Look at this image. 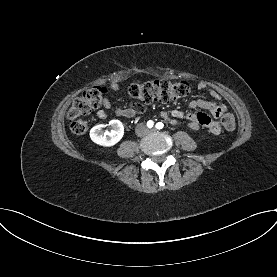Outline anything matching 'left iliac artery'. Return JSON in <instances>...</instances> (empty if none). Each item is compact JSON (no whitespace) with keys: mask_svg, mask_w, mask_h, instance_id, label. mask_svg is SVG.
Wrapping results in <instances>:
<instances>
[{"mask_svg":"<svg viewBox=\"0 0 277 277\" xmlns=\"http://www.w3.org/2000/svg\"><path fill=\"white\" fill-rule=\"evenodd\" d=\"M164 127V124L162 123V122H158L157 124H156V128L157 129H162Z\"/></svg>","mask_w":277,"mask_h":277,"instance_id":"44dca946","label":"left iliac artery"}]
</instances>
